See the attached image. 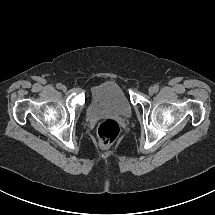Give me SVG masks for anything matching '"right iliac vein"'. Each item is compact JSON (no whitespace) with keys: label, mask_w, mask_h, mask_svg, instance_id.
<instances>
[{"label":"right iliac vein","mask_w":215,"mask_h":215,"mask_svg":"<svg viewBox=\"0 0 215 215\" xmlns=\"http://www.w3.org/2000/svg\"><path fill=\"white\" fill-rule=\"evenodd\" d=\"M61 90H62V91H66V90H67L66 86H65V85H62Z\"/></svg>","instance_id":"1"}]
</instances>
